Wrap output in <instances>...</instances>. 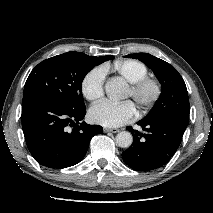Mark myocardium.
Masks as SVG:
<instances>
[{
    "label": "myocardium",
    "instance_id": "f54148a6",
    "mask_svg": "<svg viewBox=\"0 0 213 213\" xmlns=\"http://www.w3.org/2000/svg\"><path fill=\"white\" fill-rule=\"evenodd\" d=\"M131 98L142 110L151 108L162 94L160 82L154 78L145 77L130 84Z\"/></svg>",
    "mask_w": 213,
    "mask_h": 213
}]
</instances>
